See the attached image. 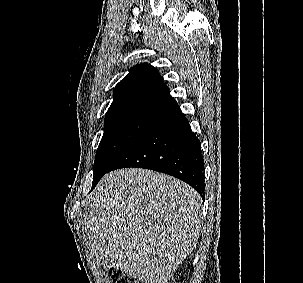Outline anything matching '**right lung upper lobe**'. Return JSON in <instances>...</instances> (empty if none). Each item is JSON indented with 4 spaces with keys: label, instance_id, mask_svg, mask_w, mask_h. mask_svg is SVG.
Returning a JSON list of instances; mask_svg holds the SVG:
<instances>
[{
    "label": "right lung upper lobe",
    "instance_id": "right-lung-upper-lobe-1",
    "mask_svg": "<svg viewBox=\"0 0 303 283\" xmlns=\"http://www.w3.org/2000/svg\"><path fill=\"white\" fill-rule=\"evenodd\" d=\"M176 105L159 71L144 63L130 69L117 84L106 119L126 115L158 117Z\"/></svg>",
    "mask_w": 303,
    "mask_h": 283
}]
</instances>
